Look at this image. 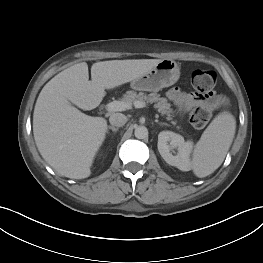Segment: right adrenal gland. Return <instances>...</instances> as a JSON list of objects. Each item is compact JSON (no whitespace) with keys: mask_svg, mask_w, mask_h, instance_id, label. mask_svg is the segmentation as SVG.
Returning a JSON list of instances; mask_svg holds the SVG:
<instances>
[{"mask_svg":"<svg viewBox=\"0 0 263 263\" xmlns=\"http://www.w3.org/2000/svg\"><path fill=\"white\" fill-rule=\"evenodd\" d=\"M108 129H111L113 132H117L118 128H115L114 126H108Z\"/></svg>","mask_w":263,"mask_h":263,"instance_id":"1","label":"right adrenal gland"}]
</instances>
